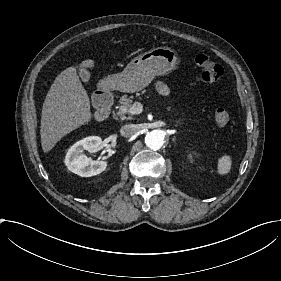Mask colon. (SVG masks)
<instances>
[{
  "mask_svg": "<svg viewBox=\"0 0 281 281\" xmlns=\"http://www.w3.org/2000/svg\"><path fill=\"white\" fill-rule=\"evenodd\" d=\"M197 69L201 78L211 86H219L225 81L224 70L217 65L209 56L200 54L195 58ZM230 120L229 112L224 107H219L214 112V123L219 128L228 126Z\"/></svg>",
  "mask_w": 281,
  "mask_h": 281,
  "instance_id": "5ec220e1",
  "label": "colon"
}]
</instances>
